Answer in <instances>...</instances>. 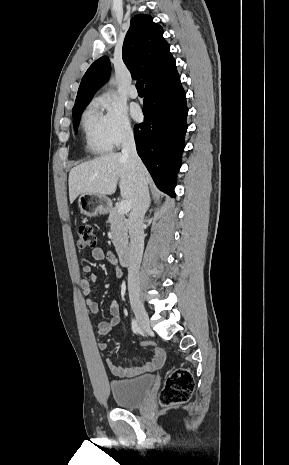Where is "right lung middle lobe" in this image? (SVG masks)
Returning a JSON list of instances; mask_svg holds the SVG:
<instances>
[{
	"instance_id": "right-lung-middle-lobe-1",
	"label": "right lung middle lobe",
	"mask_w": 289,
	"mask_h": 465,
	"mask_svg": "<svg viewBox=\"0 0 289 465\" xmlns=\"http://www.w3.org/2000/svg\"><path fill=\"white\" fill-rule=\"evenodd\" d=\"M89 102H90V100L75 102V105H74L73 110H72L73 125H74L75 130H77L81 114H82L83 110L85 109V107L88 105Z\"/></svg>"
}]
</instances>
